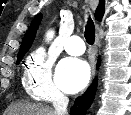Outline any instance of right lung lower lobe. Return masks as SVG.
I'll list each match as a JSON object with an SVG mask.
<instances>
[{
	"mask_svg": "<svg viewBox=\"0 0 131 115\" xmlns=\"http://www.w3.org/2000/svg\"><path fill=\"white\" fill-rule=\"evenodd\" d=\"M97 66H99V64ZM96 85L97 82L95 81L83 96L77 98L75 102L76 105L71 108L70 112L71 115H82L83 113L86 112V110L90 107V104L94 98Z\"/></svg>",
	"mask_w": 131,
	"mask_h": 115,
	"instance_id": "1",
	"label": "right lung lower lobe"
}]
</instances>
